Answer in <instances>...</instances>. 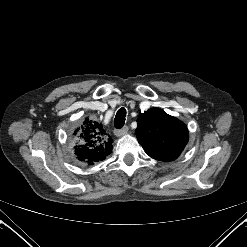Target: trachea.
<instances>
[{
	"instance_id": "trachea-1",
	"label": "trachea",
	"mask_w": 247,
	"mask_h": 247,
	"mask_svg": "<svg viewBox=\"0 0 247 247\" xmlns=\"http://www.w3.org/2000/svg\"><path fill=\"white\" fill-rule=\"evenodd\" d=\"M125 117H126V109L125 108L119 109L114 119V126L117 129H120L124 126Z\"/></svg>"
}]
</instances>
